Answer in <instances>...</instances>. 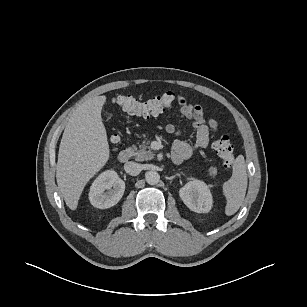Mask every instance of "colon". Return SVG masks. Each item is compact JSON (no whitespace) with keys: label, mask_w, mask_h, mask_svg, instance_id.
Listing matches in <instances>:
<instances>
[{"label":"colon","mask_w":307,"mask_h":307,"mask_svg":"<svg viewBox=\"0 0 307 307\" xmlns=\"http://www.w3.org/2000/svg\"><path fill=\"white\" fill-rule=\"evenodd\" d=\"M174 95L167 92L159 97H155L146 101H140L130 94H119L113 102L130 114L153 116L162 112L164 109L170 107L174 102ZM119 138L117 135L112 136V142L116 144ZM219 158L222 160L225 167H231L234 163L235 152L232 143L228 136L219 135L215 138L213 144Z\"/></svg>","instance_id":"5ec220e1"}]
</instances>
